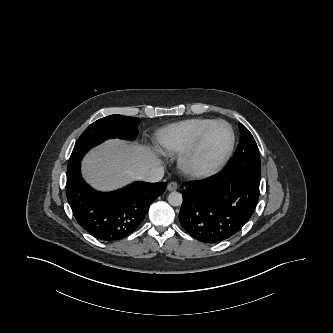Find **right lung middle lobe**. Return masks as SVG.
Wrapping results in <instances>:
<instances>
[{
	"instance_id": "right-lung-middle-lobe-1",
	"label": "right lung middle lobe",
	"mask_w": 333,
	"mask_h": 333,
	"mask_svg": "<svg viewBox=\"0 0 333 333\" xmlns=\"http://www.w3.org/2000/svg\"><path fill=\"white\" fill-rule=\"evenodd\" d=\"M139 123V118L122 115H110L95 121L78 138L67 169L75 166L91 148L107 139L134 140Z\"/></svg>"
}]
</instances>
